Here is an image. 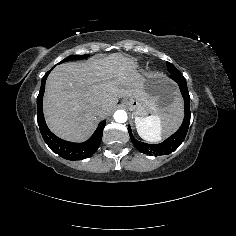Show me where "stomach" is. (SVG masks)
<instances>
[{
  "label": "stomach",
  "instance_id": "0dacf381",
  "mask_svg": "<svg viewBox=\"0 0 236 236\" xmlns=\"http://www.w3.org/2000/svg\"><path fill=\"white\" fill-rule=\"evenodd\" d=\"M140 98H124V105L134 117H147L168 112L181 99L176 83L163 73H149L141 84Z\"/></svg>",
  "mask_w": 236,
  "mask_h": 236
}]
</instances>
